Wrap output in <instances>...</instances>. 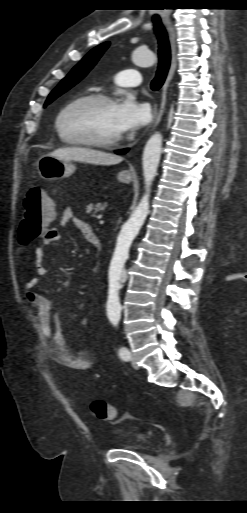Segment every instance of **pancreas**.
<instances>
[{
    "label": "pancreas",
    "instance_id": "obj_1",
    "mask_svg": "<svg viewBox=\"0 0 247 513\" xmlns=\"http://www.w3.org/2000/svg\"><path fill=\"white\" fill-rule=\"evenodd\" d=\"M106 207H107L106 203H96V204L91 203L87 206V210H88V212H93L92 217H96L97 216L96 214L98 212L104 211Z\"/></svg>",
    "mask_w": 247,
    "mask_h": 513
}]
</instances>
